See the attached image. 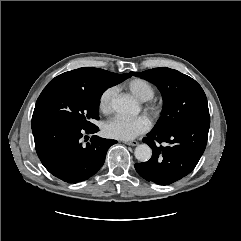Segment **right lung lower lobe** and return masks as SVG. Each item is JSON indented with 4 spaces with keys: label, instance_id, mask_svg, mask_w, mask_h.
I'll return each instance as SVG.
<instances>
[{
    "label": "right lung lower lobe",
    "instance_id": "1",
    "mask_svg": "<svg viewBox=\"0 0 241 241\" xmlns=\"http://www.w3.org/2000/svg\"><path fill=\"white\" fill-rule=\"evenodd\" d=\"M98 127L81 129L73 125L54 124L32 129L37 155L44 167L67 183L81 182L101 168L106 152L115 140L92 136L82 145V137ZM84 138H89L85 136Z\"/></svg>",
    "mask_w": 241,
    "mask_h": 241
}]
</instances>
